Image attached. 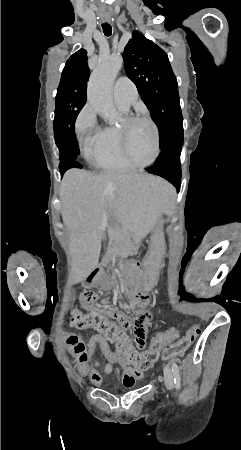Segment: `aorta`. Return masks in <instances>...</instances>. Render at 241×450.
Masks as SVG:
<instances>
[{
    "mask_svg": "<svg viewBox=\"0 0 241 450\" xmlns=\"http://www.w3.org/2000/svg\"><path fill=\"white\" fill-rule=\"evenodd\" d=\"M122 64L123 59L120 55L101 59L88 82V102L100 116L107 120L114 119L116 114L111 87L122 68Z\"/></svg>",
    "mask_w": 241,
    "mask_h": 450,
    "instance_id": "aorta-1",
    "label": "aorta"
}]
</instances>
